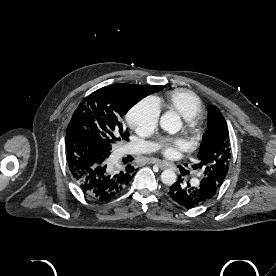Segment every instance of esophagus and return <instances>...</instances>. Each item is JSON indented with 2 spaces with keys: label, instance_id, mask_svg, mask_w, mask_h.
I'll return each mask as SVG.
<instances>
[{
  "label": "esophagus",
  "instance_id": "34e87169",
  "mask_svg": "<svg viewBox=\"0 0 276 276\" xmlns=\"http://www.w3.org/2000/svg\"><path fill=\"white\" fill-rule=\"evenodd\" d=\"M150 163H153V164H156L157 166H159L160 169L164 170V169H167L168 168V164L161 161V160H158V159H150L149 160Z\"/></svg>",
  "mask_w": 276,
  "mask_h": 276
}]
</instances>
